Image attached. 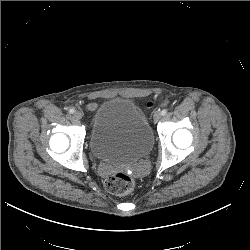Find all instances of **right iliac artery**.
Wrapping results in <instances>:
<instances>
[{"label":"right iliac artery","instance_id":"1","mask_svg":"<svg viewBox=\"0 0 250 250\" xmlns=\"http://www.w3.org/2000/svg\"><path fill=\"white\" fill-rule=\"evenodd\" d=\"M68 112H69L70 114H73V113L75 112V110H74L73 108H70V109L68 110Z\"/></svg>","mask_w":250,"mask_h":250}]
</instances>
